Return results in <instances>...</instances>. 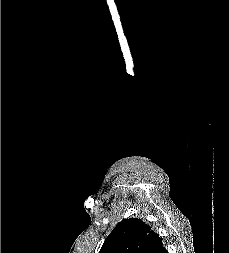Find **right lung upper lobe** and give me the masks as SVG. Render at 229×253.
<instances>
[{"label": "right lung upper lobe", "mask_w": 229, "mask_h": 253, "mask_svg": "<svg viewBox=\"0 0 229 253\" xmlns=\"http://www.w3.org/2000/svg\"><path fill=\"white\" fill-rule=\"evenodd\" d=\"M99 253H167L161 238L138 218L123 219L104 241Z\"/></svg>", "instance_id": "cb5924a9"}]
</instances>
